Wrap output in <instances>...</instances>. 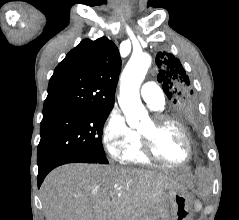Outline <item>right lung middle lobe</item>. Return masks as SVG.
I'll return each instance as SVG.
<instances>
[{"instance_id": "obj_1", "label": "right lung middle lobe", "mask_w": 239, "mask_h": 220, "mask_svg": "<svg viewBox=\"0 0 239 220\" xmlns=\"http://www.w3.org/2000/svg\"><path fill=\"white\" fill-rule=\"evenodd\" d=\"M111 110L59 111L43 114L38 166L58 159H88L107 164L102 129Z\"/></svg>"}]
</instances>
